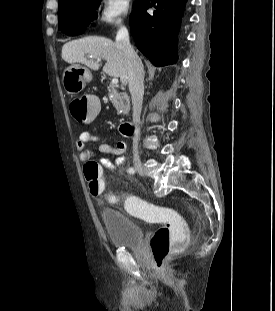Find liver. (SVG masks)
Here are the masks:
<instances>
[{
    "instance_id": "6515ba94",
    "label": "liver",
    "mask_w": 275,
    "mask_h": 311,
    "mask_svg": "<svg viewBox=\"0 0 275 311\" xmlns=\"http://www.w3.org/2000/svg\"><path fill=\"white\" fill-rule=\"evenodd\" d=\"M89 57L105 59L103 71L110 76L119 77L123 85L127 84L128 60L116 42L105 37L87 36L70 41L62 47V59L67 63H82L92 70H98L99 61Z\"/></svg>"
}]
</instances>
